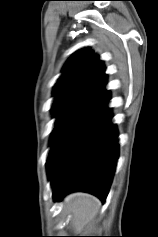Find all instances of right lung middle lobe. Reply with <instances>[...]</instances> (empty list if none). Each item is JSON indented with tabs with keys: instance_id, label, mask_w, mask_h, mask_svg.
<instances>
[{
	"instance_id": "dd1d6c3e",
	"label": "right lung middle lobe",
	"mask_w": 158,
	"mask_h": 237,
	"mask_svg": "<svg viewBox=\"0 0 158 237\" xmlns=\"http://www.w3.org/2000/svg\"><path fill=\"white\" fill-rule=\"evenodd\" d=\"M80 106L70 102H54L52 112L57 117L56 126ZM55 126V127H56Z\"/></svg>"
}]
</instances>
